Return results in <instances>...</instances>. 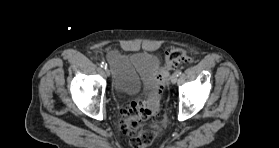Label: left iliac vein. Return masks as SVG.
Here are the masks:
<instances>
[{
    "instance_id": "1",
    "label": "left iliac vein",
    "mask_w": 279,
    "mask_h": 148,
    "mask_svg": "<svg viewBox=\"0 0 279 148\" xmlns=\"http://www.w3.org/2000/svg\"><path fill=\"white\" fill-rule=\"evenodd\" d=\"M177 80H178L177 74H176V73L172 74V76H171V82H172L173 84H175V83L177 82Z\"/></svg>"
}]
</instances>
